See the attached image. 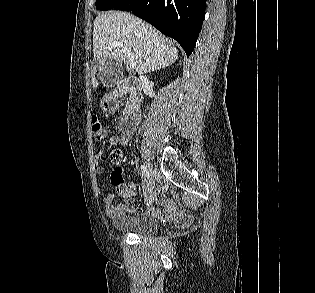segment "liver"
Segmentation results:
<instances>
[{"label":"liver","mask_w":315,"mask_h":293,"mask_svg":"<svg viewBox=\"0 0 315 293\" xmlns=\"http://www.w3.org/2000/svg\"><path fill=\"white\" fill-rule=\"evenodd\" d=\"M120 42L123 46L109 50V45ZM127 48L133 57L138 74L165 68L178 58V50L169 38L141 19L125 12L110 11L100 14L94 21V59L103 63L108 57L121 63L123 49ZM99 82L94 78L93 86Z\"/></svg>","instance_id":"1"}]
</instances>
